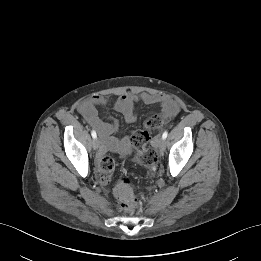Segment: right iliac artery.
I'll return each mask as SVG.
<instances>
[{"label": "right iliac artery", "mask_w": 261, "mask_h": 261, "mask_svg": "<svg viewBox=\"0 0 261 261\" xmlns=\"http://www.w3.org/2000/svg\"><path fill=\"white\" fill-rule=\"evenodd\" d=\"M91 135H92V137H93L94 139L97 138V134H96V132H95L94 130H92Z\"/></svg>", "instance_id": "82829eb1"}]
</instances>
